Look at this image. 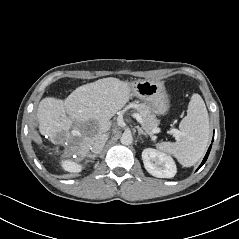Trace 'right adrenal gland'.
Wrapping results in <instances>:
<instances>
[{
  "mask_svg": "<svg viewBox=\"0 0 239 239\" xmlns=\"http://www.w3.org/2000/svg\"><path fill=\"white\" fill-rule=\"evenodd\" d=\"M88 157H92V158H95V157H96V155H93V156H91V155H88Z\"/></svg>",
  "mask_w": 239,
  "mask_h": 239,
  "instance_id": "1",
  "label": "right adrenal gland"
}]
</instances>
